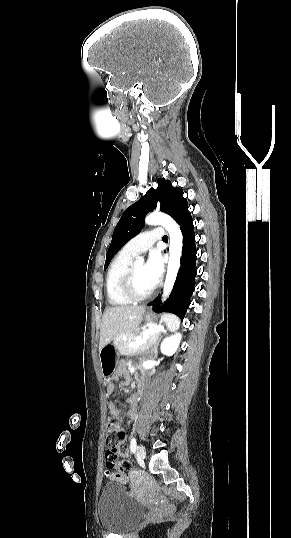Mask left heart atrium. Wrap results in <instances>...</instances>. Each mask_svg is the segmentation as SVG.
<instances>
[{"mask_svg":"<svg viewBox=\"0 0 291 538\" xmlns=\"http://www.w3.org/2000/svg\"><path fill=\"white\" fill-rule=\"evenodd\" d=\"M145 275L152 287H155L162 277L164 266L163 259L157 251L150 252L144 265Z\"/></svg>","mask_w":291,"mask_h":538,"instance_id":"39dd6f15","label":"left heart atrium"}]
</instances>
